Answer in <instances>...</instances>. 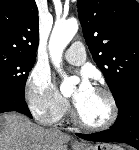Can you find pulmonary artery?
<instances>
[{
  "label": "pulmonary artery",
  "instance_id": "pulmonary-artery-1",
  "mask_svg": "<svg viewBox=\"0 0 139 150\" xmlns=\"http://www.w3.org/2000/svg\"><path fill=\"white\" fill-rule=\"evenodd\" d=\"M65 59L73 65H81L86 59L85 49L81 42L73 43L64 54Z\"/></svg>",
  "mask_w": 139,
  "mask_h": 150
}]
</instances>
